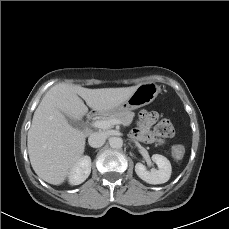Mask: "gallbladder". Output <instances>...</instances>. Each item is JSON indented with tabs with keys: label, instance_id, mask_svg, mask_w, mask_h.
I'll use <instances>...</instances> for the list:
<instances>
[{
	"label": "gallbladder",
	"instance_id": "gallbladder-1",
	"mask_svg": "<svg viewBox=\"0 0 229 229\" xmlns=\"http://www.w3.org/2000/svg\"><path fill=\"white\" fill-rule=\"evenodd\" d=\"M66 119L71 126H73L75 128H81V126H82L81 120H75V119H72L70 117H66Z\"/></svg>",
	"mask_w": 229,
	"mask_h": 229
}]
</instances>
